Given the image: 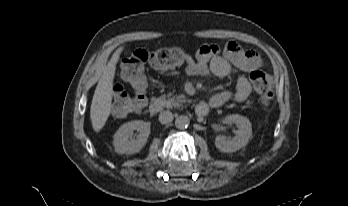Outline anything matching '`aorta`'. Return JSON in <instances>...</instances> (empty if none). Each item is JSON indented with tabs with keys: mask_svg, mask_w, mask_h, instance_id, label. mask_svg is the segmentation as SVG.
Returning a JSON list of instances; mask_svg holds the SVG:
<instances>
[{
	"mask_svg": "<svg viewBox=\"0 0 348 206\" xmlns=\"http://www.w3.org/2000/svg\"><path fill=\"white\" fill-rule=\"evenodd\" d=\"M189 123V118L184 115L178 116L175 120V126L180 130L186 129L189 126Z\"/></svg>",
	"mask_w": 348,
	"mask_h": 206,
	"instance_id": "aorta-1",
	"label": "aorta"
}]
</instances>
